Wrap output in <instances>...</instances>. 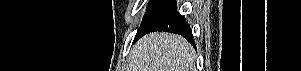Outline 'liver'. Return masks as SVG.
<instances>
[{"instance_id":"1","label":"liver","mask_w":301,"mask_h":71,"mask_svg":"<svg viewBox=\"0 0 301 71\" xmlns=\"http://www.w3.org/2000/svg\"><path fill=\"white\" fill-rule=\"evenodd\" d=\"M195 50L182 36L150 33L131 50L129 71H194Z\"/></svg>"}]
</instances>
